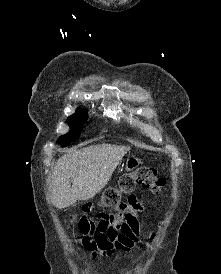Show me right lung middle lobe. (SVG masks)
<instances>
[{"mask_svg":"<svg viewBox=\"0 0 221 274\" xmlns=\"http://www.w3.org/2000/svg\"><path fill=\"white\" fill-rule=\"evenodd\" d=\"M88 114L82 109H78L77 112L68 118V124L71 127V131L64 136H61L58 142L64 147L69 145L72 141H75L80 133L82 125L86 122Z\"/></svg>","mask_w":221,"mask_h":274,"instance_id":"1","label":"right lung middle lobe"}]
</instances>
